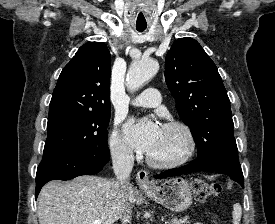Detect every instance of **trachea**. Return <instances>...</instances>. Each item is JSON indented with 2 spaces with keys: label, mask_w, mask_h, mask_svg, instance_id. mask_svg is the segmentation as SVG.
I'll use <instances>...</instances> for the list:
<instances>
[{
  "label": "trachea",
  "mask_w": 275,
  "mask_h": 224,
  "mask_svg": "<svg viewBox=\"0 0 275 224\" xmlns=\"http://www.w3.org/2000/svg\"><path fill=\"white\" fill-rule=\"evenodd\" d=\"M137 31L143 32L146 29V26H136Z\"/></svg>",
  "instance_id": "trachea-1"
}]
</instances>
